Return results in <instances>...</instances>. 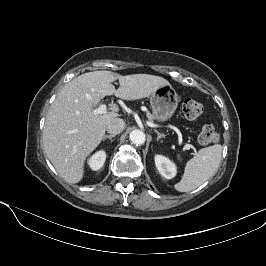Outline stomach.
I'll list each match as a JSON object with an SVG mask.
<instances>
[{
	"label": "stomach",
	"mask_w": 266,
	"mask_h": 266,
	"mask_svg": "<svg viewBox=\"0 0 266 266\" xmlns=\"http://www.w3.org/2000/svg\"><path fill=\"white\" fill-rule=\"evenodd\" d=\"M154 119L158 122L167 121L178 106V95L171 85L157 89L150 97Z\"/></svg>",
	"instance_id": "0dacf381"
}]
</instances>
